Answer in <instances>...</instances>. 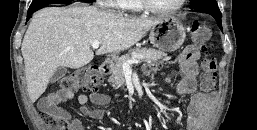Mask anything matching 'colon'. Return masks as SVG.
Masks as SVG:
<instances>
[{"label":"colon","mask_w":257,"mask_h":130,"mask_svg":"<svg viewBox=\"0 0 257 130\" xmlns=\"http://www.w3.org/2000/svg\"><path fill=\"white\" fill-rule=\"evenodd\" d=\"M193 41L205 48L206 42L210 38V31L200 22L195 21L191 29ZM202 76L200 79V90L203 93H210L216 87V62L210 55L206 54L201 60ZM102 82V77L94 66L81 68L72 75L64 77L58 86V94L61 98L67 99L71 97L74 91L83 89L86 91H95ZM40 119L47 130H69V119L56 111L42 109Z\"/></svg>","instance_id":"obj_1"}]
</instances>
